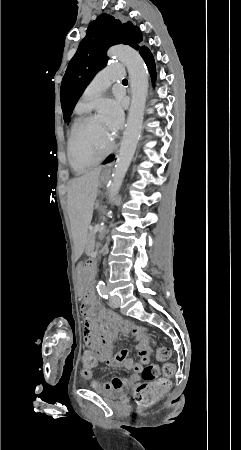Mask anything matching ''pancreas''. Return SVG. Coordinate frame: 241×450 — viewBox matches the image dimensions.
<instances>
[{
    "mask_svg": "<svg viewBox=\"0 0 241 450\" xmlns=\"http://www.w3.org/2000/svg\"><path fill=\"white\" fill-rule=\"evenodd\" d=\"M95 232H97V231H93V230H92V227H91V231L88 232V234H87V235H88L87 241L89 242V243H88L89 245H88L87 248H88V250H90V251L94 250V248H95L94 246L96 245V242H95L96 239L94 238V235H95L94 233H95ZM92 237H93V238H92Z\"/></svg>",
    "mask_w": 241,
    "mask_h": 450,
    "instance_id": "1",
    "label": "pancreas"
}]
</instances>
